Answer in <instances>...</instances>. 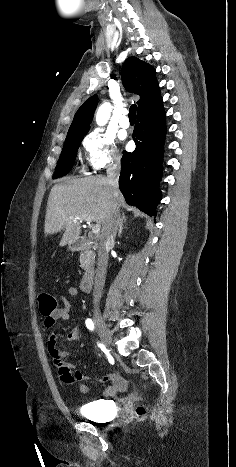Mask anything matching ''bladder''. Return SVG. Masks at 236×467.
Here are the masks:
<instances>
[{"mask_svg": "<svg viewBox=\"0 0 236 467\" xmlns=\"http://www.w3.org/2000/svg\"><path fill=\"white\" fill-rule=\"evenodd\" d=\"M114 410L115 407L110 406V400H95L87 403L81 413L90 420L101 421Z\"/></svg>", "mask_w": 236, "mask_h": 467, "instance_id": "31cf9c89", "label": "bladder"}]
</instances>
